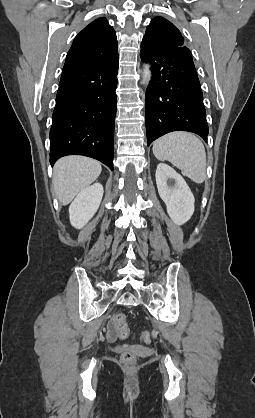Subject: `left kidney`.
Instances as JSON below:
<instances>
[{
    "label": "left kidney",
    "mask_w": 255,
    "mask_h": 418,
    "mask_svg": "<svg viewBox=\"0 0 255 418\" xmlns=\"http://www.w3.org/2000/svg\"><path fill=\"white\" fill-rule=\"evenodd\" d=\"M156 184L167 213L176 225L185 224L194 213V196L183 177L172 167L160 163L156 170Z\"/></svg>",
    "instance_id": "left-kidney-1"
}]
</instances>
